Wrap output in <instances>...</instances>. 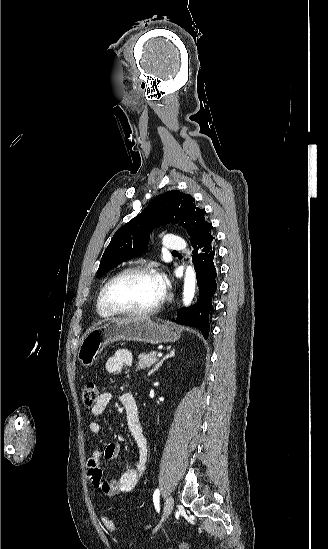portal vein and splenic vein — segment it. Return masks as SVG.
Segmentation results:
<instances>
[{"mask_svg":"<svg viewBox=\"0 0 328 549\" xmlns=\"http://www.w3.org/2000/svg\"><path fill=\"white\" fill-rule=\"evenodd\" d=\"M162 353H158V359H161Z\"/></svg>","mask_w":328,"mask_h":549,"instance_id":"obj_1","label":"portal vein and splenic vein"}]
</instances>
